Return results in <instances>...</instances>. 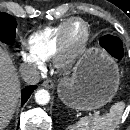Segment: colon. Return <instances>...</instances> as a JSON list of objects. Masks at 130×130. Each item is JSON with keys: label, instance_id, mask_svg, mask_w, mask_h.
Here are the masks:
<instances>
[{"label": "colon", "instance_id": "5ec220e1", "mask_svg": "<svg viewBox=\"0 0 130 130\" xmlns=\"http://www.w3.org/2000/svg\"><path fill=\"white\" fill-rule=\"evenodd\" d=\"M101 43L103 48L109 52L112 56L116 58H121L123 56V45L119 39L116 37L106 34L102 37Z\"/></svg>", "mask_w": 130, "mask_h": 130}]
</instances>
